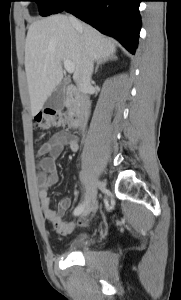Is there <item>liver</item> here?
Returning <instances> with one entry per match:
<instances>
[{
  "mask_svg": "<svg viewBox=\"0 0 181 300\" xmlns=\"http://www.w3.org/2000/svg\"><path fill=\"white\" fill-rule=\"evenodd\" d=\"M115 52L111 39L85 23L74 26L65 15L33 22L25 42V71L32 115L39 113L61 83L63 59L74 64L73 79L78 81L85 56L98 62L114 56Z\"/></svg>",
  "mask_w": 181,
  "mask_h": 300,
  "instance_id": "liver-1",
  "label": "liver"
}]
</instances>
